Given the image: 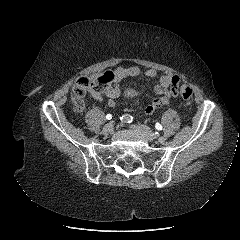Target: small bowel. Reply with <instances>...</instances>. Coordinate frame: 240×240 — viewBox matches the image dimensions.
Segmentation results:
<instances>
[{"instance_id": "obj_1", "label": "small bowel", "mask_w": 240, "mask_h": 240, "mask_svg": "<svg viewBox=\"0 0 240 240\" xmlns=\"http://www.w3.org/2000/svg\"><path fill=\"white\" fill-rule=\"evenodd\" d=\"M113 80L107 86L105 95L110 106H114L120 95L119 83L126 78L155 77V69L141 70L138 67H119L112 72ZM180 78L172 73L162 75L154 87V92L159 96L154 99L145 109L146 113L151 114L162 105L169 104L177 96L174 84H179ZM96 99H102L101 95H92Z\"/></svg>"}]
</instances>
